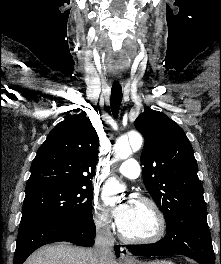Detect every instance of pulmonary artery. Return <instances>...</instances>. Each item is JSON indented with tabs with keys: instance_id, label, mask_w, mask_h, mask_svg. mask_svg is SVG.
<instances>
[{
	"instance_id": "pulmonary-artery-1",
	"label": "pulmonary artery",
	"mask_w": 221,
	"mask_h": 264,
	"mask_svg": "<svg viewBox=\"0 0 221 264\" xmlns=\"http://www.w3.org/2000/svg\"><path fill=\"white\" fill-rule=\"evenodd\" d=\"M118 173L130 179H135L140 175V166L135 159L125 160L118 168Z\"/></svg>"
}]
</instances>
